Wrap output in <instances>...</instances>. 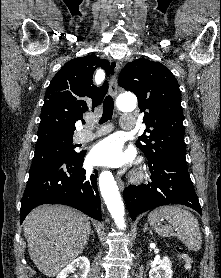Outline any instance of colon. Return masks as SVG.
Listing matches in <instances>:
<instances>
[{
  "mask_svg": "<svg viewBox=\"0 0 221 278\" xmlns=\"http://www.w3.org/2000/svg\"><path fill=\"white\" fill-rule=\"evenodd\" d=\"M177 253L178 256L180 258V260L182 261V263L184 264V267L186 268V270L189 271V275L187 278H192V259L191 257L180 247L177 248Z\"/></svg>",
  "mask_w": 221,
  "mask_h": 278,
  "instance_id": "5ec220e1",
  "label": "colon"
}]
</instances>
